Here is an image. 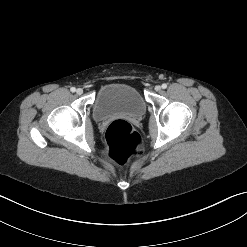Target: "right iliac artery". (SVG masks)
<instances>
[{"label": "right iliac artery", "mask_w": 247, "mask_h": 247, "mask_svg": "<svg viewBox=\"0 0 247 247\" xmlns=\"http://www.w3.org/2000/svg\"><path fill=\"white\" fill-rule=\"evenodd\" d=\"M71 92H75L76 91V89H75V87H71Z\"/></svg>", "instance_id": "right-iliac-artery-1"}]
</instances>
